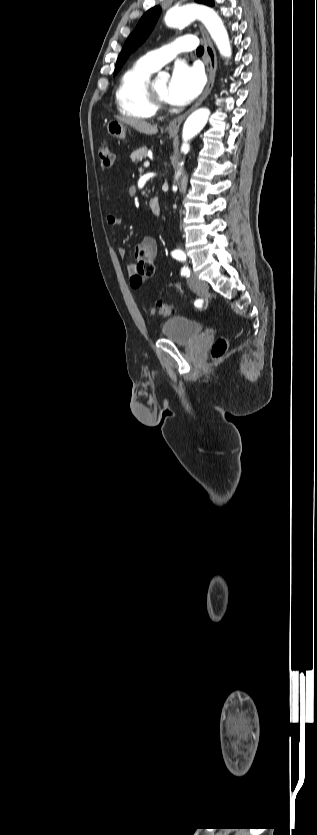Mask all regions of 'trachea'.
Instances as JSON below:
<instances>
[{
    "label": "trachea",
    "instance_id": "1",
    "mask_svg": "<svg viewBox=\"0 0 317 835\" xmlns=\"http://www.w3.org/2000/svg\"><path fill=\"white\" fill-rule=\"evenodd\" d=\"M196 53L198 55H202L204 53V48L202 46L198 47L197 50H196Z\"/></svg>",
    "mask_w": 317,
    "mask_h": 835
}]
</instances>
